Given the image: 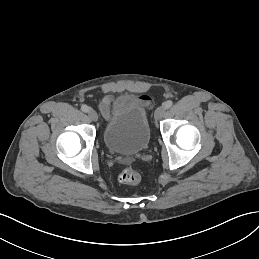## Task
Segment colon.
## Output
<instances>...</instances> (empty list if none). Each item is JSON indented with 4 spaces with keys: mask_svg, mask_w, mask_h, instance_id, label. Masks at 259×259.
I'll list each match as a JSON object with an SVG mask.
<instances>
[{
    "mask_svg": "<svg viewBox=\"0 0 259 259\" xmlns=\"http://www.w3.org/2000/svg\"><path fill=\"white\" fill-rule=\"evenodd\" d=\"M119 180L125 184H137L141 180V175L132 168H126L120 173Z\"/></svg>",
    "mask_w": 259,
    "mask_h": 259,
    "instance_id": "colon-1",
    "label": "colon"
}]
</instances>
